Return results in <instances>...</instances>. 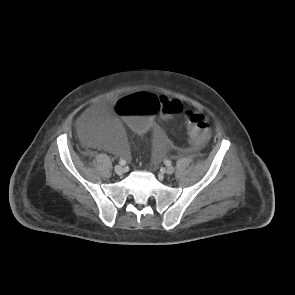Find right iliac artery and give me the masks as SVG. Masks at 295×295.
Wrapping results in <instances>:
<instances>
[{
  "label": "right iliac artery",
  "instance_id": "1",
  "mask_svg": "<svg viewBox=\"0 0 295 295\" xmlns=\"http://www.w3.org/2000/svg\"><path fill=\"white\" fill-rule=\"evenodd\" d=\"M119 164L120 165H125L126 164V161L122 159V160L119 161Z\"/></svg>",
  "mask_w": 295,
  "mask_h": 295
}]
</instances>
